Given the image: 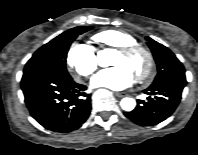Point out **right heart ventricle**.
Here are the masks:
<instances>
[{
  "label": "right heart ventricle",
  "instance_id": "1",
  "mask_svg": "<svg viewBox=\"0 0 198 155\" xmlns=\"http://www.w3.org/2000/svg\"><path fill=\"white\" fill-rule=\"evenodd\" d=\"M93 39L106 47L118 48L135 43V39L128 33L118 29H106L96 33Z\"/></svg>",
  "mask_w": 198,
  "mask_h": 155
}]
</instances>
